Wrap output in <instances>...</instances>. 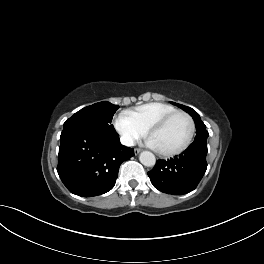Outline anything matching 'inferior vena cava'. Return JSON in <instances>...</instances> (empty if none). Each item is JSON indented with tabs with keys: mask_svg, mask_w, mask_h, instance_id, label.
<instances>
[{
	"mask_svg": "<svg viewBox=\"0 0 264 264\" xmlns=\"http://www.w3.org/2000/svg\"><path fill=\"white\" fill-rule=\"evenodd\" d=\"M120 140H121V143L123 144V145H125V146H134V140H133V138L132 137H130V136H122L121 138H120Z\"/></svg>",
	"mask_w": 264,
	"mask_h": 264,
	"instance_id": "602c4592",
	"label": "inferior vena cava"
}]
</instances>
